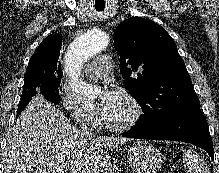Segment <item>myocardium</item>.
Segmentation results:
<instances>
[{
    "label": "myocardium",
    "instance_id": "f54148a6",
    "mask_svg": "<svg viewBox=\"0 0 219 173\" xmlns=\"http://www.w3.org/2000/svg\"><path fill=\"white\" fill-rule=\"evenodd\" d=\"M120 94L131 106V116L122 123H109L103 120V126L114 132H125L134 128L140 121L143 115V107L140 101L127 89L121 88L117 92Z\"/></svg>",
    "mask_w": 219,
    "mask_h": 173
}]
</instances>
